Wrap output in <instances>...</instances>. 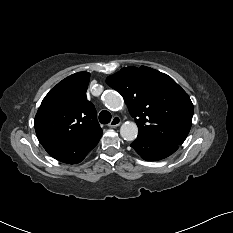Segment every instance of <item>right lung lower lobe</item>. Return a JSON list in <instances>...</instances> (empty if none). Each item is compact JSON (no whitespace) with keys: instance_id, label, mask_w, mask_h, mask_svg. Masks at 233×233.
I'll use <instances>...</instances> for the list:
<instances>
[{"instance_id":"obj_1","label":"right lung lower lobe","mask_w":233,"mask_h":233,"mask_svg":"<svg viewBox=\"0 0 233 233\" xmlns=\"http://www.w3.org/2000/svg\"><path fill=\"white\" fill-rule=\"evenodd\" d=\"M101 135L102 133L79 144H47L43 147L55 159L68 164H77L97 145Z\"/></svg>"}]
</instances>
